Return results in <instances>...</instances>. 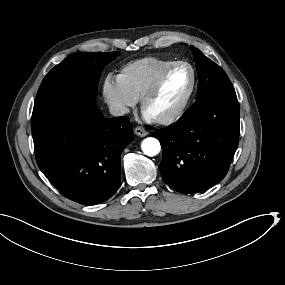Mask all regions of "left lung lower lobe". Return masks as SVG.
<instances>
[{
	"instance_id": "left-lung-lower-lobe-1",
	"label": "left lung lower lobe",
	"mask_w": 285,
	"mask_h": 285,
	"mask_svg": "<svg viewBox=\"0 0 285 285\" xmlns=\"http://www.w3.org/2000/svg\"><path fill=\"white\" fill-rule=\"evenodd\" d=\"M239 117L236 94L215 95L195 102L174 124L157 130L163 181L183 194L220 182L238 146Z\"/></svg>"
}]
</instances>
